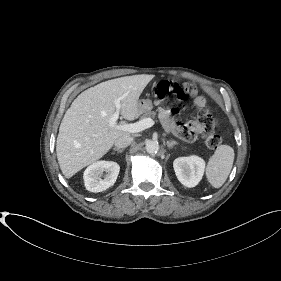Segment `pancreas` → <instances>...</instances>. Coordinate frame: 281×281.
I'll use <instances>...</instances> for the list:
<instances>
[{"instance_id": "obj_1", "label": "pancreas", "mask_w": 281, "mask_h": 281, "mask_svg": "<svg viewBox=\"0 0 281 281\" xmlns=\"http://www.w3.org/2000/svg\"><path fill=\"white\" fill-rule=\"evenodd\" d=\"M154 117H155V112L149 111V112L142 114L141 120L145 119V118H154Z\"/></svg>"}]
</instances>
